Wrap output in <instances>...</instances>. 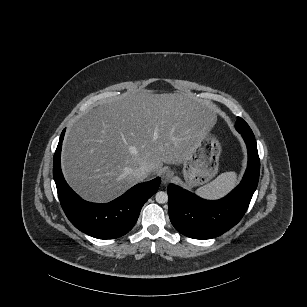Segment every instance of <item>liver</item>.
I'll use <instances>...</instances> for the list:
<instances>
[{
	"label": "liver",
	"instance_id": "6515ba94",
	"mask_svg": "<svg viewBox=\"0 0 307 307\" xmlns=\"http://www.w3.org/2000/svg\"><path fill=\"white\" fill-rule=\"evenodd\" d=\"M214 105L180 93H123L100 102L70 126L62 172L83 200L107 204L137 184L133 171L161 174L163 162L190 155Z\"/></svg>",
	"mask_w": 307,
	"mask_h": 307
}]
</instances>
